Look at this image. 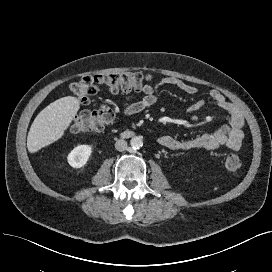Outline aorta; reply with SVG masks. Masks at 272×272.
I'll list each match as a JSON object with an SVG mask.
<instances>
[{
    "label": "aorta",
    "mask_w": 272,
    "mask_h": 272,
    "mask_svg": "<svg viewBox=\"0 0 272 272\" xmlns=\"http://www.w3.org/2000/svg\"><path fill=\"white\" fill-rule=\"evenodd\" d=\"M130 145L133 149H140L143 146V140L141 136H134L130 140Z\"/></svg>",
    "instance_id": "1"
}]
</instances>
